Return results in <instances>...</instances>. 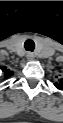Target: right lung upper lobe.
Returning a JSON list of instances; mask_svg holds the SVG:
<instances>
[{
  "mask_svg": "<svg viewBox=\"0 0 63 123\" xmlns=\"http://www.w3.org/2000/svg\"><path fill=\"white\" fill-rule=\"evenodd\" d=\"M3 70L5 71V78L11 77L13 75V72H11L9 69H6V67H3Z\"/></svg>",
  "mask_w": 63,
  "mask_h": 123,
  "instance_id": "right-lung-upper-lobe-1",
  "label": "right lung upper lobe"
}]
</instances>
